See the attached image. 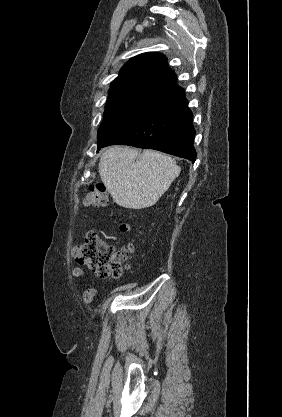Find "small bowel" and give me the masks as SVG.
Instances as JSON below:
<instances>
[{
    "mask_svg": "<svg viewBox=\"0 0 282 417\" xmlns=\"http://www.w3.org/2000/svg\"><path fill=\"white\" fill-rule=\"evenodd\" d=\"M71 276L73 278H77V279L83 278V277H85V271H84V269H82L80 267H74L71 270ZM96 294H97V289L95 287L87 288L83 292V295H82L83 302L85 304H91L94 301V299L96 297Z\"/></svg>",
    "mask_w": 282,
    "mask_h": 417,
    "instance_id": "small-bowel-1",
    "label": "small bowel"
}]
</instances>
